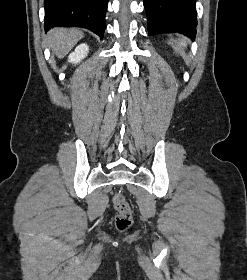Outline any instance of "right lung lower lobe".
I'll return each mask as SVG.
<instances>
[{
  "instance_id": "98d812e1",
  "label": "right lung lower lobe",
  "mask_w": 247,
  "mask_h": 280,
  "mask_svg": "<svg viewBox=\"0 0 247 280\" xmlns=\"http://www.w3.org/2000/svg\"><path fill=\"white\" fill-rule=\"evenodd\" d=\"M108 0H44L45 31L57 26L87 28L103 38Z\"/></svg>"
}]
</instances>
